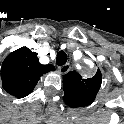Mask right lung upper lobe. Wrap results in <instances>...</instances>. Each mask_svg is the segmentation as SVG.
<instances>
[{"instance_id":"obj_1","label":"right lung upper lobe","mask_w":124,"mask_h":124,"mask_svg":"<svg viewBox=\"0 0 124 124\" xmlns=\"http://www.w3.org/2000/svg\"><path fill=\"white\" fill-rule=\"evenodd\" d=\"M54 70L51 64H40L35 52L21 47L10 53L2 63V87L9 94L23 98L32 92L43 74Z\"/></svg>"}]
</instances>
